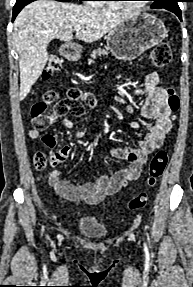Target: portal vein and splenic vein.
<instances>
[{
	"mask_svg": "<svg viewBox=\"0 0 193 287\" xmlns=\"http://www.w3.org/2000/svg\"><path fill=\"white\" fill-rule=\"evenodd\" d=\"M73 29H74L75 31H79V30L81 29V27H80V26H75Z\"/></svg>",
	"mask_w": 193,
	"mask_h": 287,
	"instance_id": "18ae733b",
	"label": "portal vein and splenic vein"
}]
</instances>
